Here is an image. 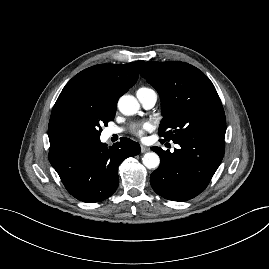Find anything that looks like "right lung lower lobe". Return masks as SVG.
Instances as JSON below:
<instances>
[{"label":"right lung lower lobe","mask_w":269,"mask_h":269,"mask_svg":"<svg viewBox=\"0 0 269 269\" xmlns=\"http://www.w3.org/2000/svg\"><path fill=\"white\" fill-rule=\"evenodd\" d=\"M139 153V144L128 138L110 147L98 138L50 150L49 161L73 197L95 203L116 191L119 164Z\"/></svg>","instance_id":"right-lung-lower-lobe-1"}]
</instances>
